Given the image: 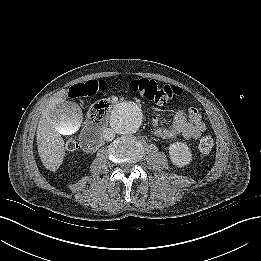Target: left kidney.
<instances>
[{
	"label": "left kidney",
	"mask_w": 261,
	"mask_h": 261,
	"mask_svg": "<svg viewBox=\"0 0 261 261\" xmlns=\"http://www.w3.org/2000/svg\"><path fill=\"white\" fill-rule=\"evenodd\" d=\"M169 157L171 162L178 167H184L192 161V153L190 148L182 142L170 144Z\"/></svg>",
	"instance_id": "1"
}]
</instances>
